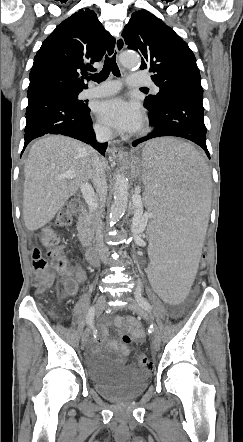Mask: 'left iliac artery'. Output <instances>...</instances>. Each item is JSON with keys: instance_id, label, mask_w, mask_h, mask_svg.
<instances>
[{"instance_id": "44dca946", "label": "left iliac artery", "mask_w": 243, "mask_h": 442, "mask_svg": "<svg viewBox=\"0 0 243 442\" xmlns=\"http://www.w3.org/2000/svg\"><path fill=\"white\" fill-rule=\"evenodd\" d=\"M135 298H136V301L139 303V305L142 306L146 311H148V312H151V311H152V306H151L150 303H149V302H148V301L142 296V294H141V288H140L139 285L136 287V290H135ZM154 327H155V326H153V325L150 326V330H149L150 333L153 332Z\"/></svg>"}]
</instances>
